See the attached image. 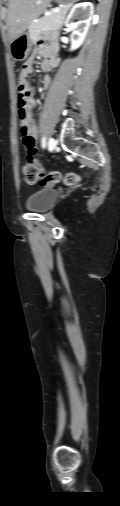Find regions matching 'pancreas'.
<instances>
[{
  "label": "pancreas",
  "mask_w": 120,
  "mask_h": 506,
  "mask_svg": "<svg viewBox=\"0 0 120 506\" xmlns=\"http://www.w3.org/2000/svg\"><path fill=\"white\" fill-rule=\"evenodd\" d=\"M67 11L68 8H61L57 12H54V9H52L49 15L39 19L37 22H32L29 25L31 38L35 40L43 32L57 31L62 26Z\"/></svg>",
  "instance_id": "pancreas-1"
}]
</instances>
